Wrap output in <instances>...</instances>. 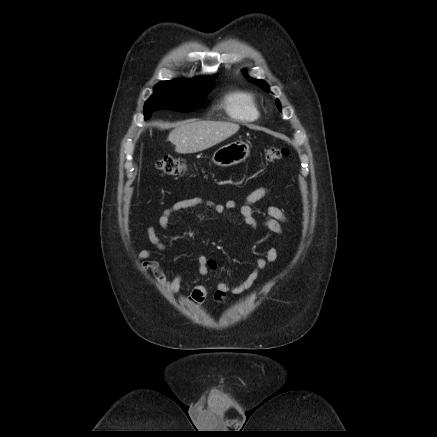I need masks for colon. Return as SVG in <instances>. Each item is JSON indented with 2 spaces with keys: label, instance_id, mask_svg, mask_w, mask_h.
Instances as JSON below:
<instances>
[{
  "label": "colon",
  "instance_id": "5ec220e1",
  "mask_svg": "<svg viewBox=\"0 0 437 437\" xmlns=\"http://www.w3.org/2000/svg\"><path fill=\"white\" fill-rule=\"evenodd\" d=\"M288 155V150L283 147H269L264 150V157L267 162L280 160ZM156 168L167 175H183L186 172V165L180 158L165 156L156 162Z\"/></svg>",
  "mask_w": 437,
  "mask_h": 437
}]
</instances>
